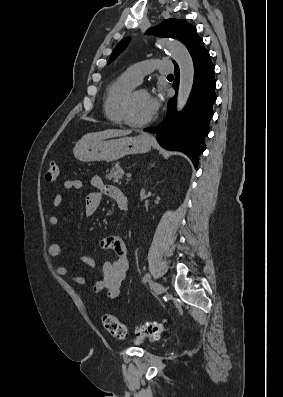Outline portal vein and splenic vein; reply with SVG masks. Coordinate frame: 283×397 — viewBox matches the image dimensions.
Segmentation results:
<instances>
[{
	"mask_svg": "<svg viewBox=\"0 0 283 397\" xmlns=\"http://www.w3.org/2000/svg\"><path fill=\"white\" fill-rule=\"evenodd\" d=\"M126 176H127L128 178H131L132 175H131V173H127Z\"/></svg>",
	"mask_w": 283,
	"mask_h": 397,
	"instance_id": "obj_1",
	"label": "portal vein and splenic vein"
}]
</instances>
